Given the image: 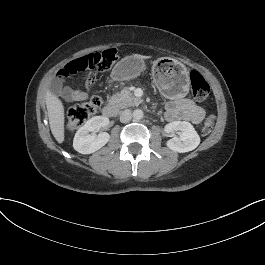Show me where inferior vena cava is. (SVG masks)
I'll use <instances>...</instances> for the list:
<instances>
[{"label": "inferior vena cava", "mask_w": 265, "mask_h": 265, "mask_svg": "<svg viewBox=\"0 0 265 265\" xmlns=\"http://www.w3.org/2000/svg\"><path fill=\"white\" fill-rule=\"evenodd\" d=\"M131 118H132V112H131V110H129V109H125V110H123V111L121 112V114H120V121H121L122 123H127V122H129V121L131 120Z\"/></svg>", "instance_id": "obj_1"}]
</instances>
